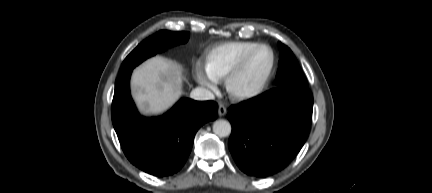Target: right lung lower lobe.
Masks as SVG:
<instances>
[{"mask_svg":"<svg viewBox=\"0 0 432 193\" xmlns=\"http://www.w3.org/2000/svg\"><path fill=\"white\" fill-rule=\"evenodd\" d=\"M131 72L119 74L112 102V122L121 148L132 164L149 174H174L186 162L198 129L216 119L218 105L182 98L164 115L145 118L130 95Z\"/></svg>","mask_w":432,"mask_h":193,"instance_id":"98d812e1","label":"right lung lower lobe"}]
</instances>
